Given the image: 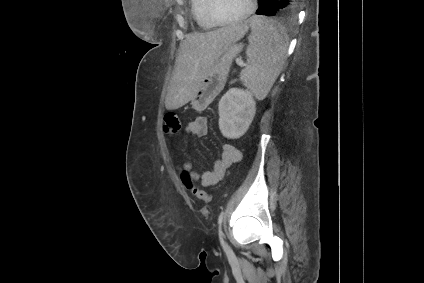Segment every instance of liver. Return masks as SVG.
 Masks as SVG:
<instances>
[{
  "mask_svg": "<svg viewBox=\"0 0 424 283\" xmlns=\"http://www.w3.org/2000/svg\"><path fill=\"white\" fill-rule=\"evenodd\" d=\"M248 29V23L241 22L206 33L187 35L180 44L175 70L165 99L166 109H178L188 103L226 47L243 38Z\"/></svg>",
  "mask_w": 424,
  "mask_h": 283,
  "instance_id": "6515ba94",
  "label": "liver"
}]
</instances>
